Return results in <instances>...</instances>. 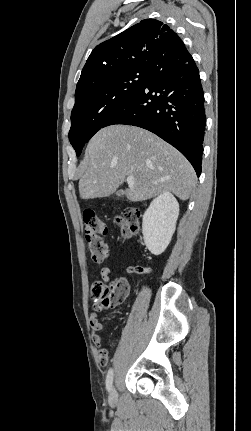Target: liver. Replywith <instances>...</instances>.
Instances as JSON below:
<instances>
[{"instance_id": "1", "label": "liver", "mask_w": 251, "mask_h": 431, "mask_svg": "<svg viewBox=\"0 0 251 431\" xmlns=\"http://www.w3.org/2000/svg\"><path fill=\"white\" fill-rule=\"evenodd\" d=\"M82 199L107 197L124 183L135 181L124 191L132 202L145 201L164 192L187 200L196 183L189 161L153 133L129 125H111L89 141L80 166Z\"/></svg>"}]
</instances>
